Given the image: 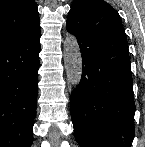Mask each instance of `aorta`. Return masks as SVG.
<instances>
[{
  "mask_svg": "<svg viewBox=\"0 0 145 147\" xmlns=\"http://www.w3.org/2000/svg\"><path fill=\"white\" fill-rule=\"evenodd\" d=\"M63 58L67 81L71 85H78L82 76V56L76 37L67 33L63 42Z\"/></svg>",
  "mask_w": 145,
  "mask_h": 147,
  "instance_id": "762f6f07",
  "label": "aorta"
}]
</instances>
